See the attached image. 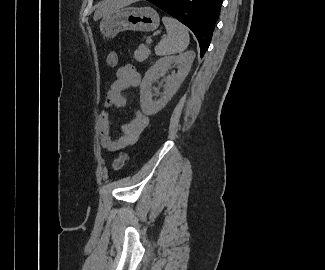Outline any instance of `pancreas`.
Segmentation results:
<instances>
[{
    "mask_svg": "<svg viewBox=\"0 0 325 270\" xmlns=\"http://www.w3.org/2000/svg\"><path fill=\"white\" fill-rule=\"evenodd\" d=\"M149 54H150V49L143 44L135 51L134 58L136 61L142 62L145 59H147Z\"/></svg>",
    "mask_w": 325,
    "mask_h": 270,
    "instance_id": "obj_1",
    "label": "pancreas"
}]
</instances>
